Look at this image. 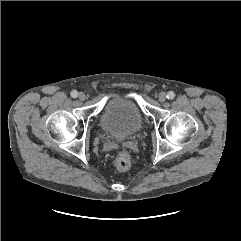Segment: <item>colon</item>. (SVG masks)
<instances>
[{"instance_id":"colon-1","label":"colon","mask_w":241,"mask_h":241,"mask_svg":"<svg viewBox=\"0 0 241 241\" xmlns=\"http://www.w3.org/2000/svg\"><path fill=\"white\" fill-rule=\"evenodd\" d=\"M113 166L118 171H125L130 166V156L127 152L120 151L113 160Z\"/></svg>"}]
</instances>
